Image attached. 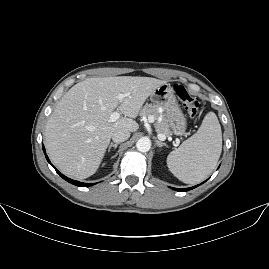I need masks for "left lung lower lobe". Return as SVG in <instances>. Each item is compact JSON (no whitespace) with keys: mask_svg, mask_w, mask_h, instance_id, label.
<instances>
[{"mask_svg":"<svg viewBox=\"0 0 269 269\" xmlns=\"http://www.w3.org/2000/svg\"><path fill=\"white\" fill-rule=\"evenodd\" d=\"M201 184H202V183H201ZM197 186H198V185H197ZM197 186H194V187H191V188H183V189L173 188V189L176 190V191L185 192V191H188V190H190V189H193V188H195V187H197Z\"/></svg>","mask_w":269,"mask_h":269,"instance_id":"0a47b994","label":"left lung lower lobe"}]
</instances>
